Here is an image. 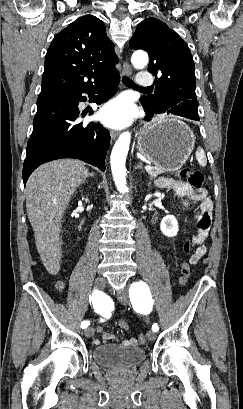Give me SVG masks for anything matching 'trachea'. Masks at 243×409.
Wrapping results in <instances>:
<instances>
[{
  "label": "trachea",
  "mask_w": 243,
  "mask_h": 409,
  "mask_svg": "<svg viewBox=\"0 0 243 409\" xmlns=\"http://www.w3.org/2000/svg\"><path fill=\"white\" fill-rule=\"evenodd\" d=\"M122 82H123V84H125V85L128 86V87H132V88H136V89H149V88H142V87L137 86V85L134 83L133 80H131L130 78H128V77H126V76H124V77L122 78Z\"/></svg>",
  "instance_id": "trachea-1"
}]
</instances>
